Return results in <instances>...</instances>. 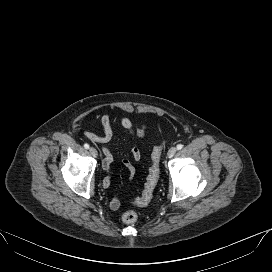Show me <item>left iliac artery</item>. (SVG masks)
<instances>
[{"label": "left iliac artery", "instance_id": "left-iliac-artery-1", "mask_svg": "<svg viewBox=\"0 0 272 272\" xmlns=\"http://www.w3.org/2000/svg\"><path fill=\"white\" fill-rule=\"evenodd\" d=\"M183 148L182 144L177 145V150H181Z\"/></svg>", "mask_w": 272, "mask_h": 272}]
</instances>
